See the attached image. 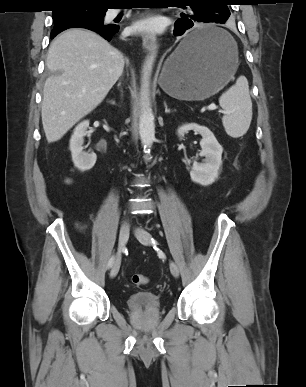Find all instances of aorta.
Wrapping results in <instances>:
<instances>
[{"label":"aorta","mask_w":306,"mask_h":387,"mask_svg":"<svg viewBox=\"0 0 306 387\" xmlns=\"http://www.w3.org/2000/svg\"><path fill=\"white\" fill-rule=\"evenodd\" d=\"M157 55V49L154 48L147 55L143 69H142V78H141V114L139 118V134L141 143L144 146L146 152L150 151V148L155 140V124H154V115L151 108L149 100V80L152 73L153 64ZM146 159H149L146 156Z\"/></svg>","instance_id":"aorta-1"}]
</instances>
